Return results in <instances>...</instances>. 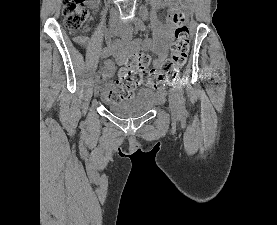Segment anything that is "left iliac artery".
Returning a JSON list of instances; mask_svg holds the SVG:
<instances>
[{"instance_id": "1", "label": "left iliac artery", "mask_w": 277, "mask_h": 225, "mask_svg": "<svg viewBox=\"0 0 277 225\" xmlns=\"http://www.w3.org/2000/svg\"><path fill=\"white\" fill-rule=\"evenodd\" d=\"M135 25H136V28L139 29V30H141V31H145V30H146L145 24H144L143 21L140 20V19H137V20H136ZM175 89H176V91H177V93H178V95H179V98H180L181 110H182L183 112H185V96H184V90H183L182 84H181V82H180L179 80H177V81L175 82Z\"/></svg>"}]
</instances>
